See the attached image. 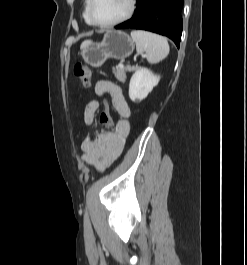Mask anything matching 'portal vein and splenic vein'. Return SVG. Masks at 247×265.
<instances>
[{"label":"portal vein and splenic vein","mask_w":247,"mask_h":265,"mask_svg":"<svg viewBox=\"0 0 247 265\" xmlns=\"http://www.w3.org/2000/svg\"><path fill=\"white\" fill-rule=\"evenodd\" d=\"M119 66H120V67H124V65H123V64H120Z\"/></svg>","instance_id":"obj_1"}]
</instances>
